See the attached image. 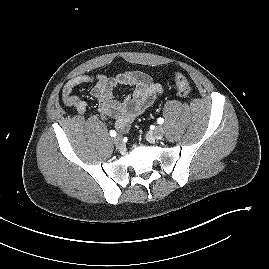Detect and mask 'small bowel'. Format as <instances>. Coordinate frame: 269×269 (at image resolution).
Masks as SVG:
<instances>
[{
    "instance_id": "1",
    "label": "small bowel",
    "mask_w": 269,
    "mask_h": 269,
    "mask_svg": "<svg viewBox=\"0 0 269 269\" xmlns=\"http://www.w3.org/2000/svg\"><path fill=\"white\" fill-rule=\"evenodd\" d=\"M92 96L98 100L99 111L105 121L112 124L120 132H126L131 124L142 115L163 93L160 83L143 72L128 70L116 75H79L66 82L62 89L63 103L83 114L87 104L73 94L76 87L92 83ZM120 86L131 88V93L122 97L116 95L114 90Z\"/></svg>"
}]
</instances>
